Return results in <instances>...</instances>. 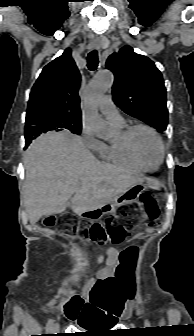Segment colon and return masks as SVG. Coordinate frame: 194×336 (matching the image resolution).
I'll return each mask as SVG.
<instances>
[{"label":"colon","instance_id":"1","mask_svg":"<svg viewBox=\"0 0 194 336\" xmlns=\"http://www.w3.org/2000/svg\"><path fill=\"white\" fill-rule=\"evenodd\" d=\"M138 206L141 207L142 212L136 213ZM159 217V207L154 197L149 193H141L138 202L134 205L125 206L122 208L117 218L123 220V224L119 223L116 217H108L103 223H94L83 225L81 227L83 237L96 244L103 245L107 242L120 244L124 242L130 230L140 226H152L157 223ZM46 227L53 228L58 226L67 232H76L79 225L75 222L69 214H62L59 218L49 216L44 221ZM135 250L128 249L120 256V263L117 268V276L119 278L125 277L130 271ZM125 291L128 292L127 287L121 285ZM84 307V301L79 295H74L64 305V314L70 320H76Z\"/></svg>","mask_w":194,"mask_h":336}]
</instances>
